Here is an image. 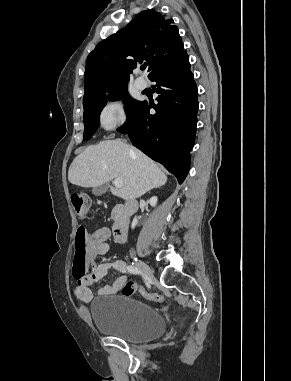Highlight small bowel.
<instances>
[{"instance_id":"c3829d8e","label":"small bowel","mask_w":291,"mask_h":381,"mask_svg":"<svg viewBox=\"0 0 291 381\" xmlns=\"http://www.w3.org/2000/svg\"><path fill=\"white\" fill-rule=\"evenodd\" d=\"M110 230L100 228L96 234L88 240L87 260L90 272L77 278L74 287V294L79 302L87 303L92 297L91 286L103 279L109 270H115L122 275L115 280L112 285H105L99 289L100 295H113L119 292L121 286L128 281L129 274L126 271V265L122 260L97 264L94 260L99 255H105L110 249L109 245Z\"/></svg>"}]
</instances>
